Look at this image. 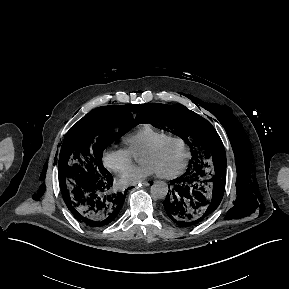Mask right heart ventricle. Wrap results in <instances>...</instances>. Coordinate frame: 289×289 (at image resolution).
Returning <instances> with one entry per match:
<instances>
[{
	"mask_svg": "<svg viewBox=\"0 0 289 289\" xmlns=\"http://www.w3.org/2000/svg\"><path fill=\"white\" fill-rule=\"evenodd\" d=\"M167 135H169L168 132L160 130L152 125L145 124L125 134L122 137V142L133 155H138L143 149L156 143Z\"/></svg>",
	"mask_w": 289,
	"mask_h": 289,
	"instance_id": "right-heart-ventricle-1",
	"label": "right heart ventricle"
}]
</instances>
